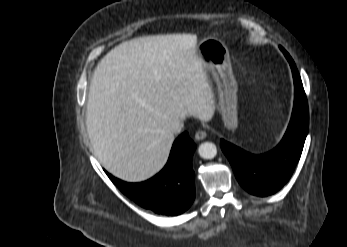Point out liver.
Segmentation results:
<instances>
[{
  "mask_svg": "<svg viewBox=\"0 0 347 247\" xmlns=\"http://www.w3.org/2000/svg\"><path fill=\"white\" fill-rule=\"evenodd\" d=\"M196 44L192 34L134 38L97 65L86 126L95 156L115 177L149 179L167 162L173 122L187 116L212 119L214 95Z\"/></svg>",
  "mask_w": 347,
  "mask_h": 247,
  "instance_id": "liver-1",
  "label": "liver"
}]
</instances>
